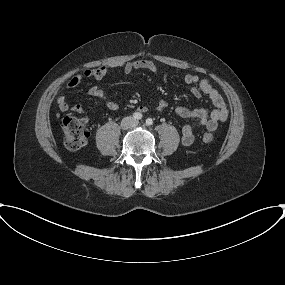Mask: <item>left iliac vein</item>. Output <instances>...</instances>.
<instances>
[{
    "label": "left iliac vein",
    "instance_id": "left-iliac-vein-1",
    "mask_svg": "<svg viewBox=\"0 0 285 285\" xmlns=\"http://www.w3.org/2000/svg\"><path fill=\"white\" fill-rule=\"evenodd\" d=\"M138 125V122L137 121H134L133 122V126H137Z\"/></svg>",
    "mask_w": 285,
    "mask_h": 285
}]
</instances>
